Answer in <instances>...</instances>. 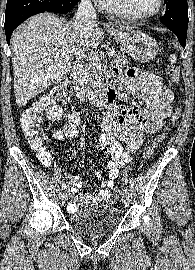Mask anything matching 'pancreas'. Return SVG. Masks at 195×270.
Returning <instances> with one entry per match:
<instances>
[{
    "label": "pancreas",
    "instance_id": "pancreas-1",
    "mask_svg": "<svg viewBox=\"0 0 195 270\" xmlns=\"http://www.w3.org/2000/svg\"><path fill=\"white\" fill-rule=\"evenodd\" d=\"M114 52V62L117 66H126L128 61L126 55L121 52H115L114 49L110 50ZM82 80L92 86H97L102 81L103 69L102 64L95 59H92L81 73Z\"/></svg>",
    "mask_w": 195,
    "mask_h": 270
}]
</instances>
